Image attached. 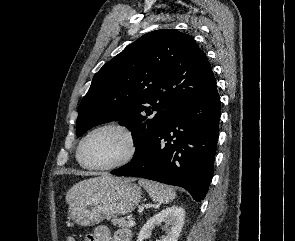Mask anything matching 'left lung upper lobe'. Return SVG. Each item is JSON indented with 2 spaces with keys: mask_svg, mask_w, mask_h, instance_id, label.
Masks as SVG:
<instances>
[{
  "mask_svg": "<svg viewBox=\"0 0 295 241\" xmlns=\"http://www.w3.org/2000/svg\"><path fill=\"white\" fill-rule=\"evenodd\" d=\"M215 82L205 53L191 36L176 29L149 32L94 75L80 104L77 136L119 121L132 131L136 157L179 108Z\"/></svg>",
  "mask_w": 295,
  "mask_h": 241,
  "instance_id": "left-lung-upper-lobe-1",
  "label": "left lung upper lobe"
}]
</instances>
